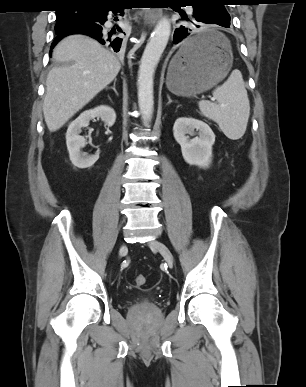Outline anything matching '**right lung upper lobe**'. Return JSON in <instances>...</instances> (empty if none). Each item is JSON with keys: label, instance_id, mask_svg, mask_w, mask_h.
<instances>
[{"label": "right lung upper lobe", "instance_id": "1", "mask_svg": "<svg viewBox=\"0 0 306 387\" xmlns=\"http://www.w3.org/2000/svg\"><path fill=\"white\" fill-rule=\"evenodd\" d=\"M61 9L70 8L75 5H81L91 8L107 7L115 4L118 0H60Z\"/></svg>", "mask_w": 306, "mask_h": 387}]
</instances>
